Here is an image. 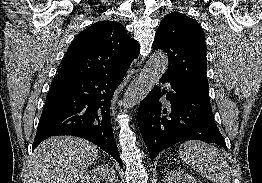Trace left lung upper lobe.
I'll list each match as a JSON object with an SVG mask.
<instances>
[{"label":"left lung upper lobe","mask_w":262,"mask_h":183,"mask_svg":"<svg viewBox=\"0 0 262 183\" xmlns=\"http://www.w3.org/2000/svg\"><path fill=\"white\" fill-rule=\"evenodd\" d=\"M153 49L167 52L166 73L209 93L205 34L196 20L178 12L167 14L155 34Z\"/></svg>","instance_id":"left-lung-upper-lobe-1"}]
</instances>
